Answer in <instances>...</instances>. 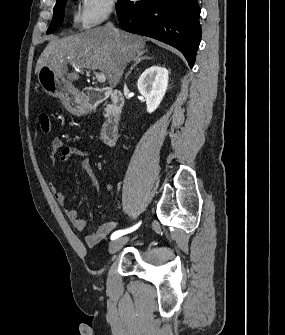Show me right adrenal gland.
<instances>
[{
    "mask_svg": "<svg viewBox=\"0 0 285 335\" xmlns=\"http://www.w3.org/2000/svg\"><path fill=\"white\" fill-rule=\"evenodd\" d=\"M142 60H152V58H149V56H142V54H138L136 60H134L133 66H131L129 72H127V74H125L126 80H127L128 76H130L131 72H133L134 68H136V66H138V64H140V62H142Z\"/></svg>",
    "mask_w": 285,
    "mask_h": 335,
    "instance_id": "right-adrenal-gland-1",
    "label": "right adrenal gland"
}]
</instances>
